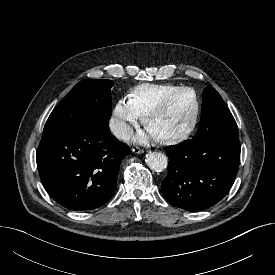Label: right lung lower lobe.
<instances>
[{
  "label": "right lung lower lobe",
  "instance_id": "obj_1",
  "mask_svg": "<svg viewBox=\"0 0 275 275\" xmlns=\"http://www.w3.org/2000/svg\"><path fill=\"white\" fill-rule=\"evenodd\" d=\"M129 151L110 133L108 121H101L79 130L43 133L36 161L48 194L67 209L86 211L114 195L119 163Z\"/></svg>",
  "mask_w": 275,
  "mask_h": 275
}]
</instances>
